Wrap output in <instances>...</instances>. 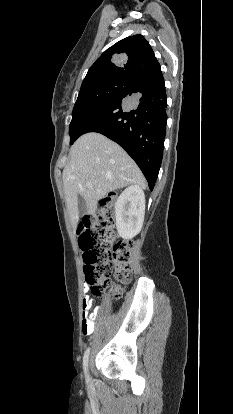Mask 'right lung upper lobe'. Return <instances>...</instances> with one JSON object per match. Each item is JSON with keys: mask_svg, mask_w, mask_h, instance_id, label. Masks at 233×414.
Segmentation results:
<instances>
[{"mask_svg": "<svg viewBox=\"0 0 233 414\" xmlns=\"http://www.w3.org/2000/svg\"><path fill=\"white\" fill-rule=\"evenodd\" d=\"M160 71L148 41L141 35H134L107 49L90 67L82 86L105 77L137 81Z\"/></svg>", "mask_w": 233, "mask_h": 414, "instance_id": "obj_1", "label": "right lung upper lobe"}]
</instances>
